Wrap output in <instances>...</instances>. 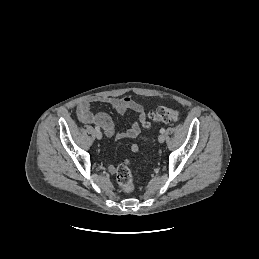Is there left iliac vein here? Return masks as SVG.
<instances>
[{"instance_id":"obj_1","label":"left iliac vein","mask_w":259,"mask_h":259,"mask_svg":"<svg viewBox=\"0 0 259 259\" xmlns=\"http://www.w3.org/2000/svg\"><path fill=\"white\" fill-rule=\"evenodd\" d=\"M158 141H159L160 143H163V142L165 141V136H164L163 134L159 135Z\"/></svg>"}]
</instances>
